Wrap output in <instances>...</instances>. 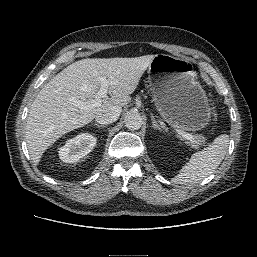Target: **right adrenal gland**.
Masks as SVG:
<instances>
[{"instance_id": "2a0ac1e0", "label": "right adrenal gland", "mask_w": 257, "mask_h": 257, "mask_svg": "<svg viewBox=\"0 0 257 257\" xmlns=\"http://www.w3.org/2000/svg\"><path fill=\"white\" fill-rule=\"evenodd\" d=\"M94 125H95L96 127H98V128H104V127H106L105 125H99V124H97L96 122L94 123Z\"/></svg>"}]
</instances>
